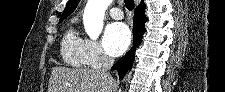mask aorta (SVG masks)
Instances as JSON below:
<instances>
[{
	"mask_svg": "<svg viewBox=\"0 0 225 92\" xmlns=\"http://www.w3.org/2000/svg\"><path fill=\"white\" fill-rule=\"evenodd\" d=\"M112 0H88L83 14L86 33L91 39H97L103 29V19Z\"/></svg>",
	"mask_w": 225,
	"mask_h": 92,
	"instance_id": "1",
	"label": "aorta"
}]
</instances>
